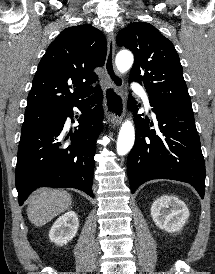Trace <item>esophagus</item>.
<instances>
[{
  "label": "esophagus",
  "instance_id": "34e87169",
  "mask_svg": "<svg viewBox=\"0 0 215 274\" xmlns=\"http://www.w3.org/2000/svg\"><path fill=\"white\" fill-rule=\"evenodd\" d=\"M115 37L112 33L107 38V56L105 70L108 82L104 89L105 115L109 122L120 124L125 111V101L122 94L123 82L114 65Z\"/></svg>",
  "mask_w": 215,
  "mask_h": 274
}]
</instances>
